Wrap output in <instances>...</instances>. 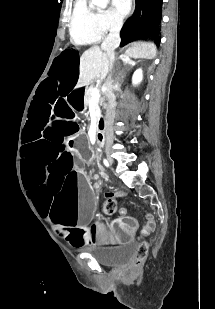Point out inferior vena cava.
Instances as JSON below:
<instances>
[{
  "instance_id": "obj_1",
  "label": "inferior vena cava",
  "mask_w": 215,
  "mask_h": 309,
  "mask_svg": "<svg viewBox=\"0 0 215 309\" xmlns=\"http://www.w3.org/2000/svg\"><path fill=\"white\" fill-rule=\"evenodd\" d=\"M123 26V18L122 16H118V18H112L111 20V28L108 36L104 38L101 48L102 50H106L108 54L109 62V70L111 72V68L113 66V62L115 60V48L120 44V30ZM106 90L105 96L107 100V108H106V116H105V134H106V144H112L113 142V122L115 118V108H116V96L113 92L114 86L112 76L109 74L105 80Z\"/></svg>"
}]
</instances>
